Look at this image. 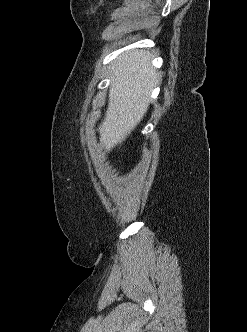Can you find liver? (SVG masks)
Here are the masks:
<instances>
[{"mask_svg":"<svg viewBox=\"0 0 247 332\" xmlns=\"http://www.w3.org/2000/svg\"><path fill=\"white\" fill-rule=\"evenodd\" d=\"M147 51H130L112 64V82L105 118L100 124V145L110 152L140 123L149 106V94L159 73Z\"/></svg>","mask_w":247,"mask_h":332,"instance_id":"obj_1","label":"liver"}]
</instances>
